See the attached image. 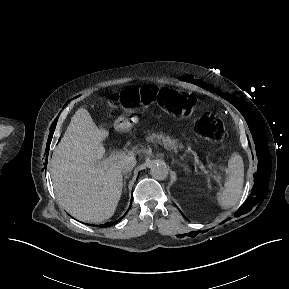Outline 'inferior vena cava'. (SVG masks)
Returning a JSON list of instances; mask_svg holds the SVG:
<instances>
[{
    "instance_id": "obj_1",
    "label": "inferior vena cava",
    "mask_w": 289,
    "mask_h": 289,
    "mask_svg": "<svg viewBox=\"0 0 289 289\" xmlns=\"http://www.w3.org/2000/svg\"><path fill=\"white\" fill-rule=\"evenodd\" d=\"M135 165H136V159L128 158L119 164V169L121 173L127 174L128 172H131V170L134 168Z\"/></svg>"
}]
</instances>
